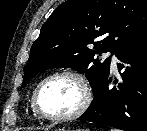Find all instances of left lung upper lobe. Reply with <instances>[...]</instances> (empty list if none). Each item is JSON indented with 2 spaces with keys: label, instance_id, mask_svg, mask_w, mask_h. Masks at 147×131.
<instances>
[{
  "label": "left lung upper lobe",
  "instance_id": "left-lung-upper-lobe-1",
  "mask_svg": "<svg viewBox=\"0 0 147 131\" xmlns=\"http://www.w3.org/2000/svg\"><path fill=\"white\" fill-rule=\"evenodd\" d=\"M147 31V0H68L43 24L31 48L22 87L40 71L72 68L84 73L93 95L109 74L111 57ZM101 39L94 42L95 39ZM90 44H94L90 48Z\"/></svg>",
  "mask_w": 147,
  "mask_h": 131
}]
</instances>
